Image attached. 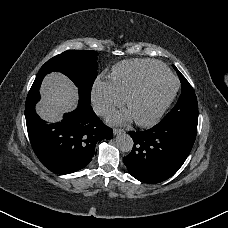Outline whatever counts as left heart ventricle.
Here are the masks:
<instances>
[{
    "label": "left heart ventricle",
    "instance_id": "1",
    "mask_svg": "<svg viewBox=\"0 0 228 228\" xmlns=\"http://www.w3.org/2000/svg\"><path fill=\"white\" fill-rule=\"evenodd\" d=\"M174 82L170 79L156 81L130 104V112L139 120H149L171 93Z\"/></svg>",
    "mask_w": 228,
    "mask_h": 228
}]
</instances>
